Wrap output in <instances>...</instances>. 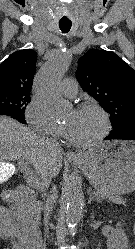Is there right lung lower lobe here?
Segmentation results:
<instances>
[{
	"label": "right lung lower lobe",
	"mask_w": 135,
	"mask_h": 249,
	"mask_svg": "<svg viewBox=\"0 0 135 249\" xmlns=\"http://www.w3.org/2000/svg\"><path fill=\"white\" fill-rule=\"evenodd\" d=\"M0 115L11 116V117H13L14 119L18 120L19 122H21V123H23V124H26L24 118L18 117V116H16V115L12 114V113H9V112H6V111H0Z\"/></svg>",
	"instance_id": "1"
}]
</instances>
